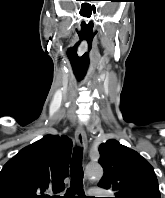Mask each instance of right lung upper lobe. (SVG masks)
I'll list each match as a JSON object with an SVG mask.
<instances>
[{"label":"right lung upper lobe","mask_w":165,"mask_h":198,"mask_svg":"<svg viewBox=\"0 0 165 198\" xmlns=\"http://www.w3.org/2000/svg\"><path fill=\"white\" fill-rule=\"evenodd\" d=\"M72 141L46 135L20 150L0 172V198H46L44 192L64 189Z\"/></svg>","instance_id":"obj_1"}]
</instances>
